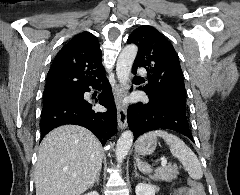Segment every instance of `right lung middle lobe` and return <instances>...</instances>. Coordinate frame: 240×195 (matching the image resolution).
I'll list each match as a JSON object with an SVG mask.
<instances>
[{
  "mask_svg": "<svg viewBox=\"0 0 240 195\" xmlns=\"http://www.w3.org/2000/svg\"><path fill=\"white\" fill-rule=\"evenodd\" d=\"M61 93H74L75 94L76 92H61ZM56 94H59V93H56ZM52 95H54V94L44 95V99H46Z\"/></svg>",
  "mask_w": 240,
  "mask_h": 195,
  "instance_id": "dd1d6c3e",
  "label": "right lung middle lobe"
}]
</instances>
